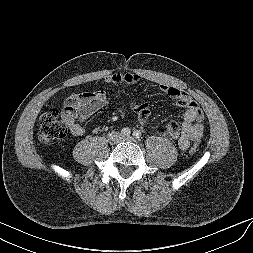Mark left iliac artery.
Returning a JSON list of instances; mask_svg holds the SVG:
<instances>
[{"instance_id":"obj_1","label":"left iliac artery","mask_w":253,"mask_h":253,"mask_svg":"<svg viewBox=\"0 0 253 253\" xmlns=\"http://www.w3.org/2000/svg\"><path fill=\"white\" fill-rule=\"evenodd\" d=\"M132 135L138 140L142 138V133L139 130H135Z\"/></svg>"}]
</instances>
